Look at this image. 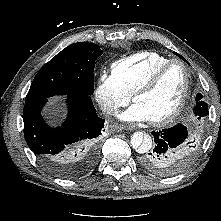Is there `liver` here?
<instances>
[{
	"instance_id": "1",
	"label": "liver",
	"mask_w": 221,
	"mask_h": 221,
	"mask_svg": "<svg viewBox=\"0 0 221 221\" xmlns=\"http://www.w3.org/2000/svg\"><path fill=\"white\" fill-rule=\"evenodd\" d=\"M53 112H51L52 115H56V108H53L52 110ZM55 111V112H54Z\"/></svg>"
}]
</instances>
